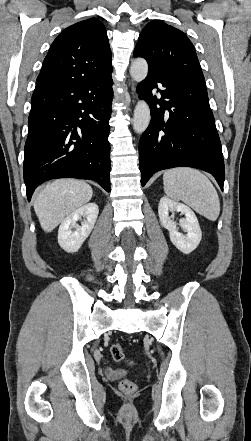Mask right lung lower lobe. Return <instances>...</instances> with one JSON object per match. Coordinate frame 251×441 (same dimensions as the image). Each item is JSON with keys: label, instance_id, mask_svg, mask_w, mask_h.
<instances>
[{"label": "right lung lower lobe", "instance_id": "right-lung-lower-lobe-1", "mask_svg": "<svg viewBox=\"0 0 251 441\" xmlns=\"http://www.w3.org/2000/svg\"><path fill=\"white\" fill-rule=\"evenodd\" d=\"M111 73L35 87L23 169L28 201L53 178L90 179L110 192Z\"/></svg>", "mask_w": 251, "mask_h": 441}]
</instances>
